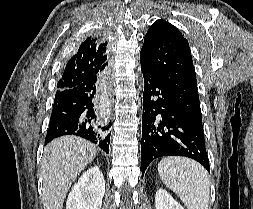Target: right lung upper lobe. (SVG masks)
Masks as SVG:
<instances>
[{"instance_id":"cb5924a9","label":"right lung upper lobe","mask_w":253,"mask_h":209,"mask_svg":"<svg viewBox=\"0 0 253 209\" xmlns=\"http://www.w3.org/2000/svg\"><path fill=\"white\" fill-rule=\"evenodd\" d=\"M106 46L107 42L102 36L88 37L82 42L78 52L66 64L57 91L73 88L98 76L106 66Z\"/></svg>"}]
</instances>
